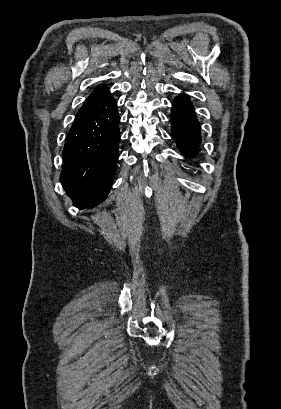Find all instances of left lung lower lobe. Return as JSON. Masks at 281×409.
<instances>
[{
	"mask_svg": "<svg viewBox=\"0 0 281 409\" xmlns=\"http://www.w3.org/2000/svg\"><path fill=\"white\" fill-rule=\"evenodd\" d=\"M171 132L179 150L187 158H194L201 144V131L194 107L185 94L172 104Z\"/></svg>",
	"mask_w": 281,
	"mask_h": 409,
	"instance_id": "0a47b994",
	"label": "left lung lower lobe"
}]
</instances>
